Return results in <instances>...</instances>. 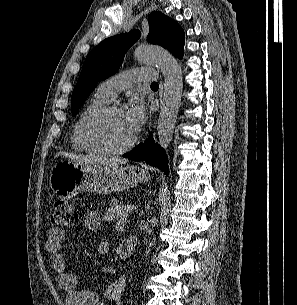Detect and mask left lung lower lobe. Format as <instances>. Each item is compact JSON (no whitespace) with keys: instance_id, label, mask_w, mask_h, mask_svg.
Listing matches in <instances>:
<instances>
[{"instance_id":"1","label":"left lung lower lobe","mask_w":297,"mask_h":305,"mask_svg":"<svg viewBox=\"0 0 297 305\" xmlns=\"http://www.w3.org/2000/svg\"><path fill=\"white\" fill-rule=\"evenodd\" d=\"M123 157L134 161L144 160L149 165L157 166L166 175L169 174L168 159L165 151L158 144H155L152 136L145 143L138 145L131 152L124 154Z\"/></svg>"}]
</instances>
